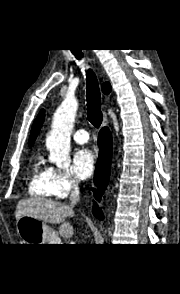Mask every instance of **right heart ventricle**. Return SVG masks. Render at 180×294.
<instances>
[{"mask_svg":"<svg viewBox=\"0 0 180 294\" xmlns=\"http://www.w3.org/2000/svg\"><path fill=\"white\" fill-rule=\"evenodd\" d=\"M28 192L33 197L50 198L53 196L52 168L49 167L41 155L32 164L28 183Z\"/></svg>","mask_w":180,"mask_h":294,"instance_id":"1","label":"right heart ventricle"}]
</instances>
